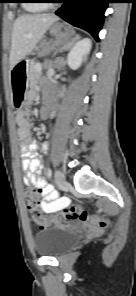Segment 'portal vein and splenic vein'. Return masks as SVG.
<instances>
[{"mask_svg":"<svg viewBox=\"0 0 136 296\" xmlns=\"http://www.w3.org/2000/svg\"><path fill=\"white\" fill-rule=\"evenodd\" d=\"M36 70H37V71H40V70H41V66L38 65V66L36 67Z\"/></svg>","mask_w":136,"mask_h":296,"instance_id":"obj_1","label":"portal vein and splenic vein"}]
</instances>
